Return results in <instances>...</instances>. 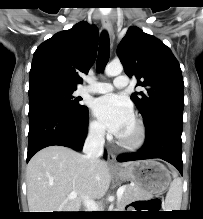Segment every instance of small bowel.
<instances>
[{
  "label": "small bowel",
  "instance_id": "small-bowel-1",
  "mask_svg": "<svg viewBox=\"0 0 203 219\" xmlns=\"http://www.w3.org/2000/svg\"><path fill=\"white\" fill-rule=\"evenodd\" d=\"M137 207H138V205L134 206V208H137Z\"/></svg>",
  "mask_w": 203,
  "mask_h": 219
}]
</instances>
